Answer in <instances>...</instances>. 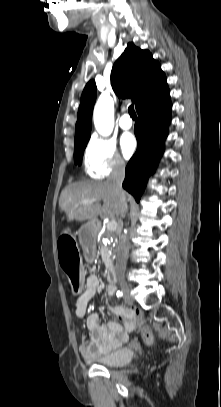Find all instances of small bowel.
Here are the masks:
<instances>
[{
  "label": "small bowel",
  "instance_id": "obj_1",
  "mask_svg": "<svg viewBox=\"0 0 221 407\" xmlns=\"http://www.w3.org/2000/svg\"><path fill=\"white\" fill-rule=\"evenodd\" d=\"M100 289L99 277L92 274L86 278L85 290L78 298L75 305L76 316L86 319L87 327L91 333V339L87 344L79 346V352L87 359L97 355L107 354L129 340L131 332L135 331L143 321L140 311L125 306H109L110 314L117 321L109 322L107 326L100 324L99 312L88 315V304ZM116 286L110 283L106 287V297L113 296Z\"/></svg>",
  "mask_w": 221,
  "mask_h": 407
}]
</instances>
